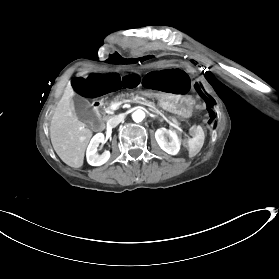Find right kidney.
I'll use <instances>...</instances> for the list:
<instances>
[{"label": "right kidney", "instance_id": "right-kidney-1", "mask_svg": "<svg viewBox=\"0 0 279 279\" xmlns=\"http://www.w3.org/2000/svg\"><path fill=\"white\" fill-rule=\"evenodd\" d=\"M104 134L97 133L90 141L86 151L87 162L91 166H101L105 164L111 157L109 151H104L102 154H97L100 143H104Z\"/></svg>", "mask_w": 279, "mask_h": 279}]
</instances>
